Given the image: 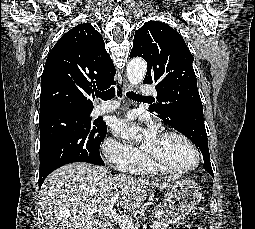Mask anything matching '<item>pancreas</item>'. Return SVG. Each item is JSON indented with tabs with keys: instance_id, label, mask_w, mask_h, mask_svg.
I'll use <instances>...</instances> for the list:
<instances>
[{
	"instance_id": "obj_1",
	"label": "pancreas",
	"mask_w": 255,
	"mask_h": 229,
	"mask_svg": "<svg viewBox=\"0 0 255 229\" xmlns=\"http://www.w3.org/2000/svg\"><path fill=\"white\" fill-rule=\"evenodd\" d=\"M121 229H126V227H122ZM155 229H167L165 224H158L157 227H155Z\"/></svg>"
}]
</instances>
